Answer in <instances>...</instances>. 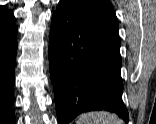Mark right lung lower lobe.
I'll use <instances>...</instances> for the list:
<instances>
[{"label":"right lung lower lobe","mask_w":156,"mask_h":124,"mask_svg":"<svg viewBox=\"0 0 156 124\" xmlns=\"http://www.w3.org/2000/svg\"><path fill=\"white\" fill-rule=\"evenodd\" d=\"M17 28H0V124H15L13 112Z\"/></svg>","instance_id":"98d812e1"}]
</instances>
